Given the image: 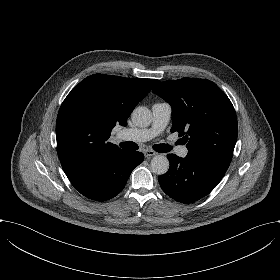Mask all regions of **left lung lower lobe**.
<instances>
[{
  "label": "left lung lower lobe",
  "mask_w": 280,
  "mask_h": 280,
  "mask_svg": "<svg viewBox=\"0 0 280 280\" xmlns=\"http://www.w3.org/2000/svg\"><path fill=\"white\" fill-rule=\"evenodd\" d=\"M168 159L170 168L158 181L167 195L181 203L197 201L210 193L229 166L216 159L190 154L185 158L168 154Z\"/></svg>",
  "instance_id": "obj_1"
}]
</instances>
